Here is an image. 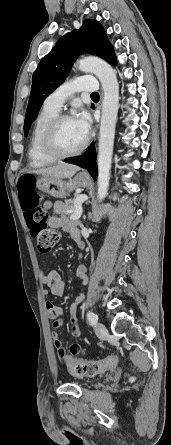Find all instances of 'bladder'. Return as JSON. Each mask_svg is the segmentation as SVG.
<instances>
[{
  "mask_svg": "<svg viewBox=\"0 0 171 445\" xmlns=\"http://www.w3.org/2000/svg\"><path fill=\"white\" fill-rule=\"evenodd\" d=\"M91 381V379H86L84 380V384L89 383Z\"/></svg>",
  "mask_w": 171,
  "mask_h": 445,
  "instance_id": "1",
  "label": "bladder"
}]
</instances>
